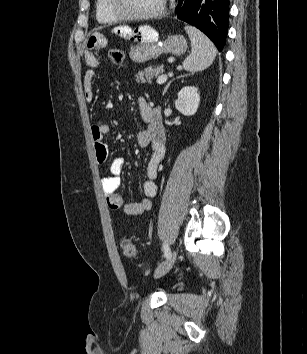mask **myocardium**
I'll use <instances>...</instances> for the list:
<instances>
[{
  "label": "myocardium",
  "instance_id": "myocardium-1",
  "mask_svg": "<svg viewBox=\"0 0 307 354\" xmlns=\"http://www.w3.org/2000/svg\"><path fill=\"white\" fill-rule=\"evenodd\" d=\"M169 0H162L160 7L149 13L142 14H133L125 12L120 5V0H108V6L111 13L116 16L119 20H131V21H140V20H152L161 17L168 6Z\"/></svg>",
  "mask_w": 307,
  "mask_h": 354
}]
</instances>
